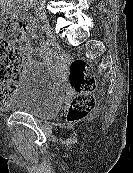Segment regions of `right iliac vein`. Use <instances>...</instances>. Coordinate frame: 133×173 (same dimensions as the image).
<instances>
[{"label": "right iliac vein", "mask_w": 133, "mask_h": 173, "mask_svg": "<svg viewBox=\"0 0 133 173\" xmlns=\"http://www.w3.org/2000/svg\"><path fill=\"white\" fill-rule=\"evenodd\" d=\"M38 16H39L40 22L43 25L44 31L46 33L48 45L53 48L56 45V38H55L54 31H53L46 15L43 12H39Z\"/></svg>", "instance_id": "1"}]
</instances>
